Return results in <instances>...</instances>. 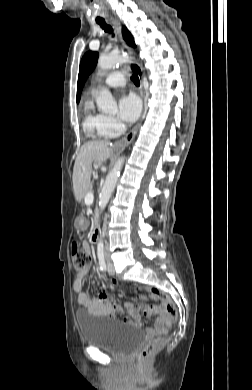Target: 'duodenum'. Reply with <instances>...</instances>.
<instances>
[{
	"instance_id": "obj_1",
	"label": "duodenum",
	"mask_w": 252,
	"mask_h": 390,
	"mask_svg": "<svg viewBox=\"0 0 252 390\" xmlns=\"http://www.w3.org/2000/svg\"><path fill=\"white\" fill-rule=\"evenodd\" d=\"M99 236H100V230L99 229H96L94 232H93V235H92V240L93 242H97L99 240Z\"/></svg>"
}]
</instances>
